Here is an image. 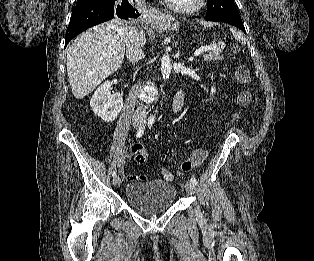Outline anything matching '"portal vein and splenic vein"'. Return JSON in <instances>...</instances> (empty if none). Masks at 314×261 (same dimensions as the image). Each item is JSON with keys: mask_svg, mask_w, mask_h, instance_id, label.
<instances>
[{"mask_svg": "<svg viewBox=\"0 0 314 261\" xmlns=\"http://www.w3.org/2000/svg\"><path fill=\"white\" fill-rule=\"evenodd\" d=\"M216 47L215 44H211V45H208V46H205V47H201L200 49L196 50L195 53H194V56H199L201 55L203 52L205 51H208V50H212Z\"/></svg>", "mask_w": 314, "mask_h": 261, "instance_id": "portal-vein-and-splenic-vein-1", "label": "portal vein and splenic vein"}]
</instances>
